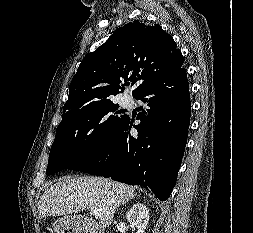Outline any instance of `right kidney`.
Masks as SVG:
<instances>
[{"label": "right kidney", "mask_w": 253, "mask_h": 233, "mask_svg": "<svg viewBox=\"0 0 253 233\" xmlns=\"http://www.w3.org/2000/svg\"><path fill=\"white\" fill-rule=\"evenodd\" d=\"M127 220L137 228V233H144L149 221V210L144 204L136 203L128 211Z\"/></svg>", "instance_id": "obj_1"}]
</instances>
